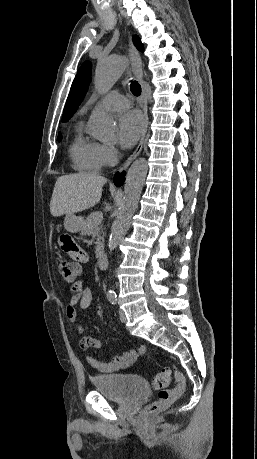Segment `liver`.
<instances>
[{
  "mask_svg": "<svg viewBox=\"0 0 257 459\" xmlns=\"http://www.w3.org/2000/svg\"><path fill=\"white\" fill-rule=\"evenodd\" d=\"M107 182L103 176L77 173L57 179L50 202L52 216L81 212L96 205Z\"/></svg>",
  "mask_w": 257,
  "mask_h": 459,
  "instance_id": "1",
  "label": "liver"
}]
</instances>
